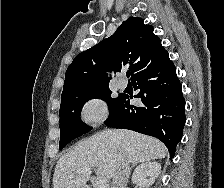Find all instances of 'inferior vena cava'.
<instances>
[{"instance_id": "obj_1", "label": "inferior vena cava", "mask_w": 224, "mask_h": 188, "mask_svg": "<svg viewBox=\"0 0 224 188\" xmlns=\"http://www.w3.org/2000/svg\"><path fill=\"white\" fill-rule=\"evenodd\" d=\"M130 175L129 161L122 158L113 176L111 188H126Z\"/></svg>"}]
</instances>
